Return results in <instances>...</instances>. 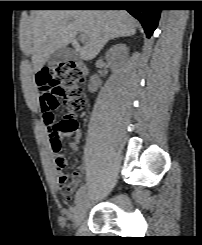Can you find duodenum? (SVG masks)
Returning a JSON list of instances; mask_svg holds the SVG:
<instances>
[{
	"label": "duodenum",
	"mask_w": 202,
	"mask_h": 245,
	"mask_svg": "<svg viewBox=\"0 0 202 245\" xmlns=\"http://www.w3.org/2000/svg\"><path fill=\"white\" fill-rule=\"evenodd\" d=\"M80 70L82 72V74L86 75L88 73V68L84 63L80 64Z\"/></svg>",
	"instance_id": "1"
}]
</instances>
